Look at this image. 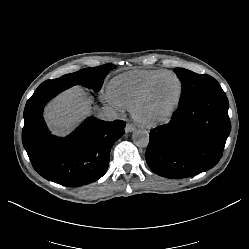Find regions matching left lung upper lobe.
<instances>
[{"label":"left lung upper lobe","instance_id":"obj_1","mask_svg":"<svg viewBox=\"0 0 249 249\" xmlns=\"http://www.w3.org/2000/svg\"><path fill=\"white\" fill-rule=\"evenodd\" d=\"M174 72L182 82V95L179 105L202 94L223 91L219 83L209 75L196 74L183 68H176Z\"/></svg>","mask_w":249,"mask_h":249}]
</instances>
